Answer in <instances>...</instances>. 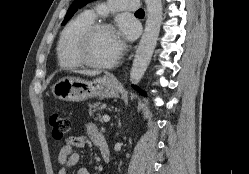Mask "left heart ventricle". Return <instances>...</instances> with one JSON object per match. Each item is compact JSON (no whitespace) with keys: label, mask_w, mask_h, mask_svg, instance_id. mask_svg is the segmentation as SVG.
Returning <instances> with one entry per match:
<instances>
[{"label":"left heart ventricle","mask_w":249,"mask_h":174,"mask_svg":"<svg viewBox=\"0 0 249 174\" xmlns=\"http://www.w3.org/2000/svg\"><path fill=\"white\" fill-rule=\"evenodd\" d=\"M119 46V37L115 31L97 32L91 39L88 56L97 63H105L113 59Z\"/></svg>","instance_id":"b2bd125f"}]
</instances>
